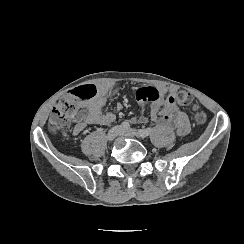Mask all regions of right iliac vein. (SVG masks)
I'll use <instances>...</instances> for the list:
<instances>
[{
  "instance_id": "1",
  "label": "right iliac vein",
  "mask_w": 244,
  "mask_h": 244,
  "mask_svg": "<svg viewBox=\"0 0 244 244\" xmlns=\"http://www.w3.org/2000/svg\"><path fill=\"white\" fill-rule=\"evenodd\" d=\"M121 131H122V128L120 126L112 127L106 136L107 140L113 141L118 135H120Z\"/></svg>"
}]
</instances>
